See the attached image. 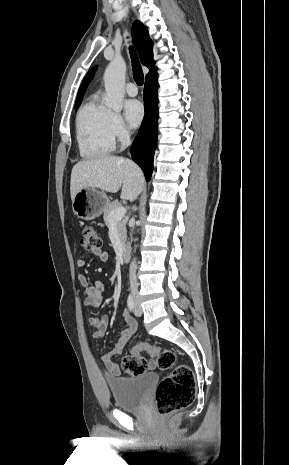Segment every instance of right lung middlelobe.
I'll list each match as a JSON object with an SVG mask.
<instances>
[{
  "label": "right lung middle lobe",
  "mask_w": 289,
  "mask_h": 465,
  "mask_svg": "<svg viewBox=\"0 0 289 465\" xmlns=\"http://www.w3.org/2000/svg\"><path fill=\"white\" fill-rule=\"evenodd\" d=\"M80 104H81V101H78V102L75 103V109H76V110L78 109V107L80 106Z\"/></svg>",
  "instance_id": "obj_1"
}]
</instances>
